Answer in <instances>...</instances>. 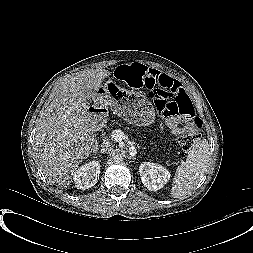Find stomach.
<instances>
[{"mask_svg": "<svg viewBox=\"0 0 253 253\" xmlns=\"http://www.w3.org/2000/svg\"><path fill=\"white\" fill-rule=\"evenodd\" d=\"M91 100L110 106L115 114L131 124L146 126L155 119L154 109L144 96L121 89L111 81L100 87Z\"/></svg>", "mask_w": 253, "mask_h": 253, "instance_id": "stomach-1", "label": "stomach"}]
</instances>
